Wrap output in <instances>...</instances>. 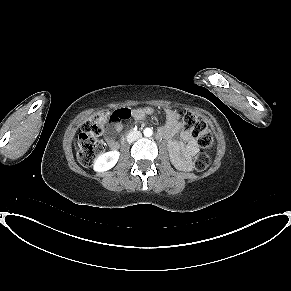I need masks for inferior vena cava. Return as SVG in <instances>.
Returning a JSON list of instances; mask_svg holds the SVG:
<instances>
[{
    "instance_id": "602c4592",
    "label": "inferior vena cava",
    "mask_w": 291,
    "mask_h": 291,
    "mask_svg": "<svg viewBox=\"0 0 291 291\" xmlns=\"http://www.w3.org/2000/svg\"><path fill=\"white\" fill-rule=\"evenodd\" d=\"M142 136L140 131H132L128 134L127 136V141L129 143H132L133 141H136L137 139H139Z\"/></svg>"
}]
</instances>
